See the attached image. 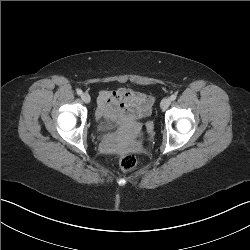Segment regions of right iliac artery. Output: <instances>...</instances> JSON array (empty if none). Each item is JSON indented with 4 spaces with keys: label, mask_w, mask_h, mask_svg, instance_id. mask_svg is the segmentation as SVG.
<instances>
[{
    "label": "right iliac artery",
    "mask_w": 250,
    "mask_h": 250,
    "mask_svg": "<svg viewBox=\"0 0 250 250\" xmlns=\"http://www.w3.org/2000/svg\"><path fill=\"white\" fill-rule=\"evenodd\" d=\"M77 94L81 95L82 94V90L81 89H77Z\"/></svg>",
    "instance_id": "1"
}]
</instances>
